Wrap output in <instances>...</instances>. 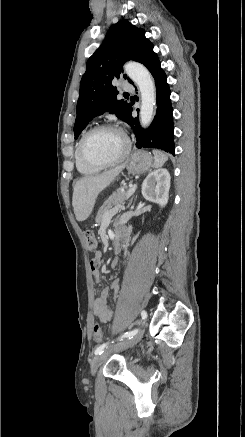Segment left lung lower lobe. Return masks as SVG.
I'll use <instances>...</instances> for the list:
<instances>
[{
    "label": "left lung lower lobe",
    "mask_w": 245,
    "mask_h": 437,
    "mask_svg": "<svg viewBox=\"0 0 245 437\" xmlns=\"http://www.w3.org/2000/svg\"><path fill=\"white\" fill-rule=\"evenodd\" d=\"M155 79L157 95V111L152 124L143 130L139 125L138 118H133L130 106L126 122L133 128L136 136V147L158 148L175 155L173 108L170 100V89L167 84V76L160 66V61L153 48L141 59ZM138 111V110H137Z\"/></svg>",
    "instance_id": "left-lung-lower-lobe-1"
}]
</instances>
